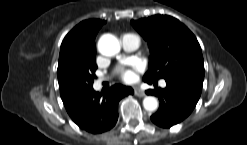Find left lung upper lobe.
Segmentation results:
<instances>
[{
  "instance_id": "left-lung-upper-lobe-1",
  "label": "left lung upper lobe",
  "mask_w": 247,
  "mask_h": 145,
  "mask_svg": "<svg viewBox=\"0 0 247 145\" xmlns=\"http://www.w3.org/2000/svg\"><path fill=\"white\" fill-rule=\"evenodd\" d=\"M148 41L151 50L145 82L181 76L203 83L204 61L194 34L179 20L168 15H154L131 21Z\"/></svg>"
}]
</instances>
